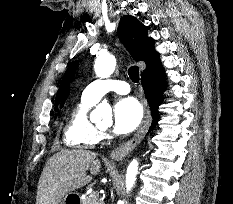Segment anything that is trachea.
<instances>
[{
    "mask_svg": "<svg viewBox=\"0 0 233 204\" xmlns=\"http://www.w3.org/2000/svg\"><path fill=\"white\" fill-rule=\"evenodd\" d=\"M128 74L133 82L135 83L139 82V69L137 66H131L128 70Z\"/></svg>",
    "mask_w": 233,
    "mask_h": 204,
    "instance_id": "3493384b",
    "label": "trachea"
}]
</instances>
